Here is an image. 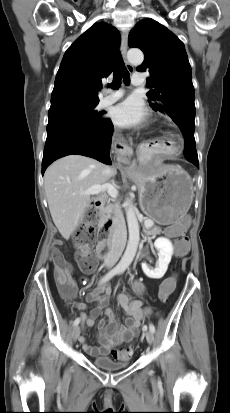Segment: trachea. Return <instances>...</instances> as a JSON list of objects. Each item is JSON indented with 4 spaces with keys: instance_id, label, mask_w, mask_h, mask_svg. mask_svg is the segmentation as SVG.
I'll list each match as a JSON object with an SVG mask.
<instances>
[{
    "instance_id": "1",
    "label": "trachea",
    "mask_w": 230,
    "mask_h": 413,
    "mask_svg": "<svg viewBox=\"0 0 230 413\" xmlns=\"http://www.w3.org/2000/svg\"><path fill=\"white\" fill-rule=\"evenodd\" d=\"M121 80L128 85L130 83V74L124 65L121 55L117 54L113 81L110 84V87L113 89H118L121 85Z\"/></svg>"
}]
</instances>
